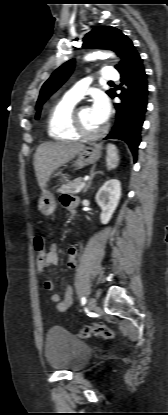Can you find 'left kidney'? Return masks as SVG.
<instances>
[{"label":"left kidney","mask_w":168,"mask_h":415,"mask_svg":"<svg viewBox=\"0 0 168 415\" xmlns=\"http://www.w3.org/2000/svg\"><path fill=\"white\" fill-rule=\"evenodd\" d=\"M121 197V183L117 179H111L104 183L95 196L97 204L101 208L100 220L107 224L116 210Z\"/></svg>","instance_id":"1"}]
</instances>
